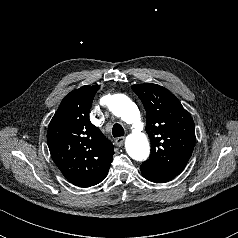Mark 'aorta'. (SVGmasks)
Returning <instances> with one entry per match:
<instances>
[{"mask_svg":"<svg viewBox=\"0 0 238 238\" xmlns=\"http://www.w3.org/2000/svg\"><path fill=\"white\" fill-rule=\"evenodd\" d=\"M109 110L128 124H133L134 131L127 136L125 148L128 155L137 161L146 160L150 148L147 137L141 132L140 114L137 106L124 94H114L107 97Z\"/></svg>","mask_w":238,"mask_h":238,"instance_id":"obj_1","label":"aorta"}]
</instances>
